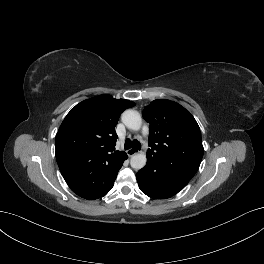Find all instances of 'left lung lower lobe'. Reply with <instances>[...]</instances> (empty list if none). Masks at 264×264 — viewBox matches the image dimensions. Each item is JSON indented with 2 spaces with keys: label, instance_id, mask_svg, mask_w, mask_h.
Listing matches in <instances>:
<instances>
[{
  "label": "left lung lower lobe",
  "instance_id": "left-lung-lower-lobe-1",
  "mask_svg": "<svg viewBox=\"0 0 264 264\" xmlns=\"http://www.w3.org/2000/svg\"><path fill=\"white\" fill-rule=\"evenodd\" d=\"M140 190L154 199L169 198L178 193L190 181L181 172H165L153 160L136 174Z\"/></svg>",
  "mask_w": 264,
  "mask_h": 264
}]
</instances>
